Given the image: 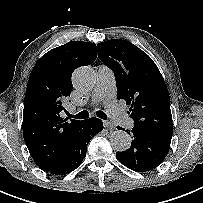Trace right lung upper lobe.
Wrapping results in <instances>:
<instances>
[{
	"label": "right lung upper lobe",
	"instance_id": "1",
	"mask_svg": "<svg viewBox=\"0 0 203 203\" xmlns=\"http://www.w3.org/2000/svg\"><path fill=\"white\" fill-rule=\"evenodd\" d=\"M97 57L94 43L71 41L44 54L35 64L27 84L23 110V136L41 169L56 165L75 128L83 121L67 122L60 114L70 96L73 71Z\"/></svg>",
	"mask_w": 203,
	"mask_h": 203
}]
</instances>
